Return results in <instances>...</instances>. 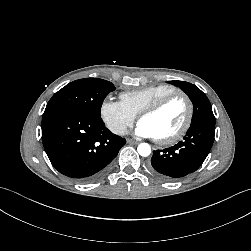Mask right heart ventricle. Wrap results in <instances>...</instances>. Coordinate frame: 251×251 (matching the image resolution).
<instances>
[{"instance_id":"e07e8e85","label":"right heart ventricle","mask_w":251,"mask_h":251,"mask_svg":"<svg viewBox=\"0 0 251 251\" xmlns=\"http://www.w3.org/2000/svg\"><path fill=\"white\" fill-rule=\"evenodd\" d=\"M174 91H177V88L173 85L157 84L123 92L120 94V99L126 109L136 117L147 107Z\"/></svg>"}]
</instances>
